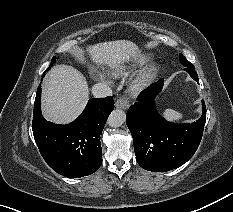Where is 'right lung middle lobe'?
<instances>
[{
    "instance_id": "dd1d6c3e",
    "label": "right lung middle lobe",
    "mask_w": 233,
    "mask_h": 212,
    "mask_svg": "<svg viewBox=\"0 0 233 212\" xmlns=\"http://www.w3.org/2000/svg\"><path fill=\"white\" fill-rule=\"evenodd\" d=\"M55 61H56V57H53V58H52V61H51V64H50V66H49V68H48V70L51 68L52 64H53Z\"/></svg>"
}]
</instances>
